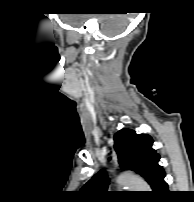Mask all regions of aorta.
I'll use <instances>...</instances> for the list:
<instances>
[{"instance_id":"762f6f07","label":"aorta","mask_w":194,"mask_h":202,"mask_svg":"<svg viewBox=\"0 0 194 202\" xmlns=\"http://www.w3.org/2000/svg\"><path fill=\"white\" fill-rule=\"evenodd\" d=\"M117 183L120 186L127 187L129 189H132L134 191H149L150 187L147 185L146 182L143 180L131 176V175H120L117 178Z\"/></svg>"}]
</instances>
